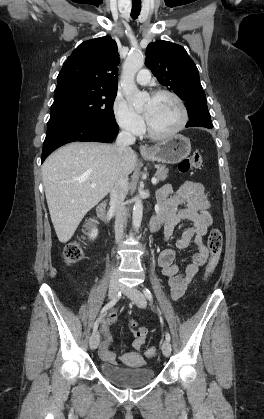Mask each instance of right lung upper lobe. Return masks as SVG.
<instances>
[{
    "label": "right lung upper lobe",
    "instance_id": "right-lung-upper-lobe-1",
    "mask_svg": "<svg viewBox=\"0 0 264 419\" xmlns=\"http://www.w3.org/2000/svg\"><path fill=\"white\" fill-rule=\"evenodd\" d=\"M119 53L109 36L81 43L66 59L57 77V88L79 84L94 90L116 91Z\"/></svg>",
    "mask_w": 264,
    "mask_h": 419
}]
</instances>
